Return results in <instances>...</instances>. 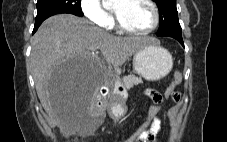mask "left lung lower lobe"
<instances>
[{
    "label": "left lung lower lobe",
    "mask_w": 227,
    "mask_h": 142,
    "mask_svg": "<svg viewBox=\"0 0 227 142\" xmlns=\"http://www.w3.org/2000/svg\"><path fill=\"white\" fill-rule=\"evenodd\" d=\"M157 35L158 36H169V37H173V38L177 39L181 43V45L184 46V43H183V40H182V35H175V34H172V33H163V34H160L158 32H157Z\"/></svg>",
    "instance_id": "0a47b994"
}]
</instances>
